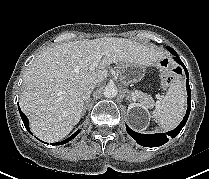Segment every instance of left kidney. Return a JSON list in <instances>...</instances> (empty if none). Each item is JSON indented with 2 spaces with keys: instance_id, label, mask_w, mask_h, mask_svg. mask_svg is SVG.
I'll list each match as a JSON object with an SVG mask.
<instances>
[{
  "instance_id": "5707ae66",
  "label": "left kidney",
  "mask_w": 209,
  "mask_h": 179,
  "mask_svg": "<svg viewBox=\"0 0 209 179\" xmlns=\"http://www.w3.org/2000/svg\"><path fill=\"white\" fill-rule=\"evenodd\" d=\"M128 112H130V117L134 122H137L139 116H144L150 120V113L147 107L139 103H131L128 106Z\"/></svg>"
}]
</instances>
